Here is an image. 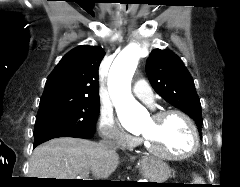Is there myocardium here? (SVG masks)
<instances>
[{
    "mask_svg": "<svg viewBox=\"0 0 240 187\" xmlns=\"http://www.w3.org/2000/svg\"><path fill=\"white\" fill-rule=\"evenodd\" d=\"M170 115H176V116L180 117L184 121L186 126L188 127L189 132L191 134V138H192V144H191L190 149L182 154H171V153L159 151V150H156L152 146V144L148 141V139L145 136H142V142L144 145V149L149 154H151L157 158H160V159H166V160L187 159V158L193 156L199 148V134H198L197 128H196L194 122L192 121V119L185 112L178 110V109L161 110V111L155 113L152 118L155 121H160Z\"/></svg>",
    "mask_w": 240,
    "mask_h": 187,
    "instance_id": "1",
    "label": "myocardium"
}]
</instances>
